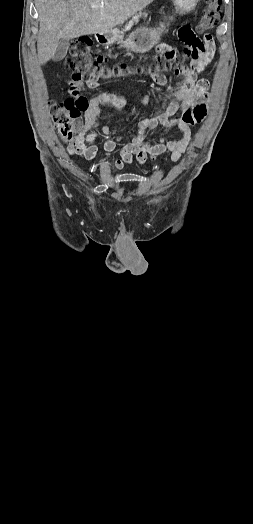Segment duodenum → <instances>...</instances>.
Instances as JSON below:
<instances>
[{"instance_id": "obj_1", "label": "duodenum", "mask_w": 253, "mask_h": 524, "mask_svg": "<svg viewBox=\"0 0 253 524\" xmlns=\"http://www.w3.org/2000/svg\"><path fill=\"white\" fill-rule=\"evenodd\" d=\"M97 37H98V38H102V37H103V34H97Z\"/></svg>"}]
</instances>
